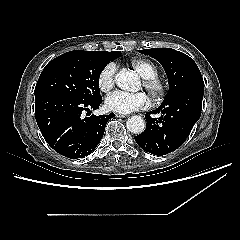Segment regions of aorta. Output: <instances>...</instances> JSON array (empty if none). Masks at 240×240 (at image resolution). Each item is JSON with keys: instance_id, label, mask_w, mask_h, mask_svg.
I'll return each mask as SVG.
<instances>
[{"instance_id": "1", "label": "aorta", "mask_w": 240, "mask_h": 240, "mask_svg": "<svg viewBox=\"0 0 240 240\" xmlns=\"http://www.w3.org/2000/svg\"><path fill=\"white\" fill-rule=\"evenodd\" d=\"M116 84L119 88L133 91L137 87L138 78L132 71L121 70L115 76ZM127 129L134 134H141L145 130V121L141 116L134 115L126 122Z\"/></svg>"}]
</instances>
